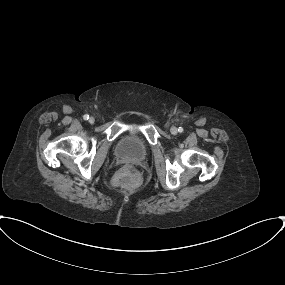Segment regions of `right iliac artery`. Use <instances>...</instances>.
Returning <instances> with one entry per match:
<instances>
[{
	"label": "right iliac artery",
	"instance_id": "82829eb1",
	"mask_svg": "<svg viewBox=\"0 0 285 285\" xmlns=\"http://www.w3.org/2000/svg\"><path fill=\"white\" fill-rule=\"evenodd\" d=\"M83 119H84V120H88V119H89V115H88V114H85V115L83 116Z\"/></svg>",
	"mask_w": 285,
	"mask_h": 285
}]
</instances>
